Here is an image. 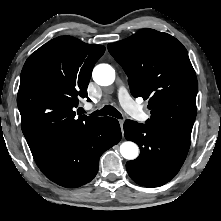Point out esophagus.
Returning a JSON list of instances; mask_svg holds the SVG:
<instances>
[{
    "instance_id": "esophagus-1",
    "label": "esophagus",
    "mask_w": 221,
    "mask_h": 221,
    "mask_svg": "<svg viewBox=\"0 0 221 221\" xmlns=\"http://www.w3.org/2000/svg\"><path fill=\"white\" fill-rule=\"evenodd\" d=\"M119 124H120V126H121V128H123V124H124V120H119Z\"/></svg>"
}]
</instances>
